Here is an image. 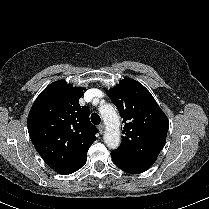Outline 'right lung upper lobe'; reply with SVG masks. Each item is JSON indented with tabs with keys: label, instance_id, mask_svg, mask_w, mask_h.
Returning a JSON list of instances; mask_svg holds the SVG:
<instances>
[{
	"label": "right lung upper lobe",
	"instance_id": "right-lung-upper-lobe-1",
	"mask_svg": "<svg viewBox=\"0 0 209 209\" xmlns=\"http://www.w3.org/2000/svg\"><path fill=\"white\" fill-rule=\"evenodd\" d=\"M83 88L56 81L35 100L27 120L31 141L42 159L59 174L67 175L86 163L97 128L89 108L80 106Z\"/></svg>",
	"mask_w": 209,
	"mask_h": 209
}]
</instances>
